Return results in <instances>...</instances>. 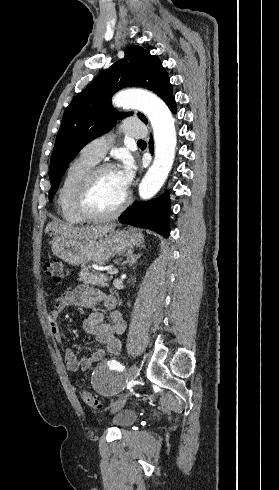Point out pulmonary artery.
I'll use <instances>...</instances> for the list:
<instances>
[{"label":"pulmonary artery","instance_id":"obj_1","mask_svg":"<svg viewBox=\"0 0 279 490\" xmlns=\"http://www.w3.org/2000/svg\"><path fill=\"white\" fill-rule=\"evenodd\" d=\"M111 135H116V131L122 129L127 134L131 135L132 140H143L146 134L145 122H140L138 117H128L125 122H113L111 125ZM112 145V140L98 137L90 140L81 149L80 155L91 161L92 163L99 162L105 155L108 148Z\"/></svg>","mask_w":279,"mask_h":490}]
</instances>
